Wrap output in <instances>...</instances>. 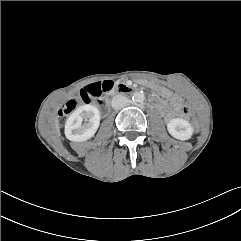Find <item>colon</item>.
Masks as SVG:
<instances>
[{
  "mask_svg": "<svg viewBox=\"0 0 241 241\" xmlns=\"http://www.w3.org/2000/svg\"><path fill=\"white\" fill-rule=\"evenodd\" d=\"M112 86L111 81L95 82L82 89L78 98L71 99L59 111V116L64 118L72 113L79 104H89L92 101L100 103V97ZM194 108L191 105L183 107V114L188 117L194 116Z\"/></svg>",
  "mask_w": 241,
  "mask_h": 241,
  "instance_id": "obj_1",
  "label": "colon"
}]
</instances>
